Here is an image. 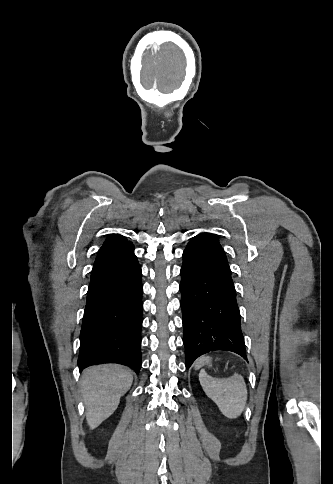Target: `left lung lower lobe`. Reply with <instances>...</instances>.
Returning a JSON list of instances; mask_svg holds the SVG:
<instances>
[{"label":"left lung lower lobe","mask_w":333,"mask_h":484,"mask_svg":"<svg viewBox=\"0 0 333 484\" xmlns=\"http://www.w3.org/2000/svg\"><path fill=\"white\" fill-rule=\"evenodd\" d=\"M180 274L186 368L215 350L247 359L231 271L214 235L201 233L190 240Z\"/></svg>","instance_id":"obj_1"}]
</instances>
